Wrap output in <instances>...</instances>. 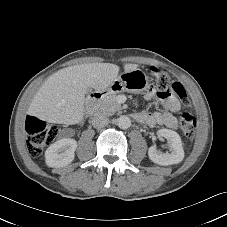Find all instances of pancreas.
<instances>
[{
	"label": "pancreas",
	"mask_w": 227,
	"mask_h": 227,
	"mask_svg": "<svg viewBox=\"0 0 227 227\" xmlns=\"http://www.w3.org/2000/svg\"><path fill=\"white\" fill-rule=\"evenodd\" d=\"M96 113L107 116L113 115L115 112L121 110V105L117 102L116 94H107L101 98L96 107Z\"/></svg>",
	"instance_id": "obj_1"
}]
</instances>
